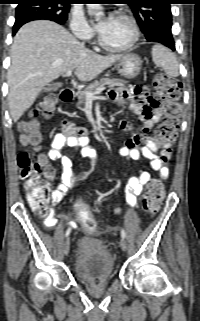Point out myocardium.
I'll return each mask as SVG.
<instances>
[{"label":"myocardium","mask_w":200,"mask_h":321,"mask_svg":"<svg viewBox=\"0 0 200 321\" xmlns=\"http://www.w3.org/2000/svg\"><path fill=\"white\" fill-rule=\"evenodd\" d=\"M116 16L124 18V19H126L127 21L130 22V24L132 26V31H133L131 40L126 45H123V46H112V45H109L104 40V38L102 37L101 33H99V35H98V43L103 49H105L107 51H110V52H125V51L130 50L138 42L139 37H140V29H139V25H138L136 19L132 15H130V14L124 12V11H117L116 12Z\"/></svg>","instance_id":"myocardium-1"}]
</instances>
